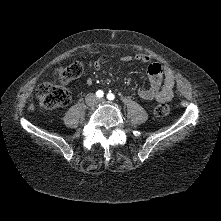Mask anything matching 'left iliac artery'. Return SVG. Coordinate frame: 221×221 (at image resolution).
I'll list each match as a JSON object with an SVG mask.
<instances>
[{"label": "left iliac artery", "mask_w": 221, "mask_h": 221, "mask_svg": "<svg viewBox=\"0 0 221 221\" xmlns=\"http://www.w3.org/2000/svg\"><path fill=\"white\" fill-rule=\"evenodd\" d=\"M115 96L112 93L107 94V99L108 100H114Z\"/></svg>", "instance_id": "left-iliac-artery-1"}]
</instances>
